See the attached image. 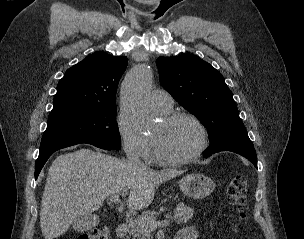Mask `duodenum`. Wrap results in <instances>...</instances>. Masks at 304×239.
<instances>
[{
  "instance_id": "1",
  "label": "duodenum",
  "mask_w": 304,
  "mask_h": 239,
  "mask_svg": "<svg viewBox=\"0 0 304 239\" xmlns=\"http://www.w3.org/2000/svg\"><path fill=\"white\" fill-rule=\"evenodd\" d=\"M129 224L127 222H122L117 226L116 234L118 237L123 238L125 237L129 232ZM174 239H181L178 235Z\"/></svg>"
}]
</instances>
